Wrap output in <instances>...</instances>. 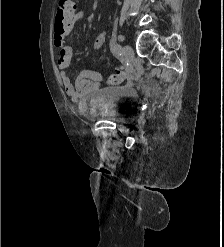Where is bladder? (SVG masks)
<instances>
[{"instance_id": "bladder-1", "label": "bladder", "mask_w": 224, "mask_h": 247, "mask_svg": "<svg viewBox=\"0 0 224 247\" xmlns=\"http://www.w3.org/2000/svg\"><path fill=\"white\" fill-rule=\"evenodd\" d=\"M139 95L127 87L99 89L91 100V117L121 124L130 123L135 115Z\"/></svg>"}]
</instances>
